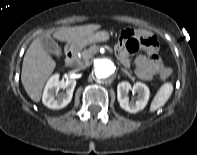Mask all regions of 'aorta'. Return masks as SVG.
<instances>
[{
	"label": "aorta",
	"instance_id": "obj_1",
	"mask_svg": "<svg viewBox=\"0 0 197 155\" xmlns=\"http://www.w3.org/2000/svg\"><path fill=\"white\" fill-rule=\"evenodd\" d=\"M93 69L95 76L98 79H105L115 73L116 66L112 60L108 58H100L94 61Z\"/></svg>",
	"mask_w": 197,
	"mask_h": 155
}]
</instances>
